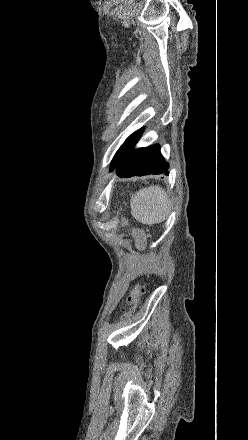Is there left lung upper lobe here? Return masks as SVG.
Masks as SVG:
<instances>
[{"mask_svg": "<svg viewBox=\"0 0 248 440\" xmlns=\"http://www.w3.org/2000/svg\"><path fill=\"white\" fill-rule=\"evenodd\" d=\"M143 129H140L129 136L124 144L120 147V149L115 154L110 169L111 171L120 163V161L133 149L137 141L139 140Z\"/></svg>", "mask_w": 248, "mask_h": 440, "instance_id": "left-lung-upper-lobe-1", "label": "left lung upper lobe"}]
</instances>
